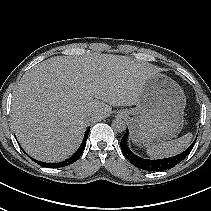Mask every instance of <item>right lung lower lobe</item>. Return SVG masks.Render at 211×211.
I'll use <instances>...</instances> for the list:
<instances>
[{
    "instance_id": "right-lung-lower-lobe-1",
    "label": "right lung lower lobe",
    "mask_w": 211,
    "mask_h": 211,
    "mask_svg": "<svg viewBox=\"0 0 211 211\" xmlns=\"http://www.w3.org/2000/svg\"><path fill=\"white\" fill-rule=\"evenodd\" d=\"M89 131H90V128H88L85 132V135H84V138H83V141L80 145V147L78 148V150L74 153L73 156H71L69 159L63 161V162H59V163H46V162H42V161H38V164L40 166H43V167H47V168H59V167H64V166H68L72 163H74L75 161L78 160V158L81 156L84 148H85V145H86V141H87V138H88V134H89ZM30 157V156H29ZM31 158V157H30ZM33 161H35V159H32ZM37 162V161H35Z\"/></svg>"
}]
</instances>
